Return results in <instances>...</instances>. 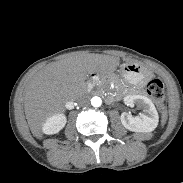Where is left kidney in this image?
I'll return each instance as SVG.
<instances>
[{
    "instance_id": "left-kidney-1",
    "label": "left kidney",
    "mask_w": 183,
    "mask_h": 183,
    "mask_svg": "<svg viewBox=\"0 0 183 183\" xmlns=\"http://www.w3.org/2000/svg\"><path fill=\"white\" fill-rule=\"evenodd\" d=\"M124 102L129 105H137L142 113L132 116L123 112L120 116L122 125L133 132H152L158 125L159 116L153 102L146 96L127 95Z\"/></svg>"
}]
</instances>
